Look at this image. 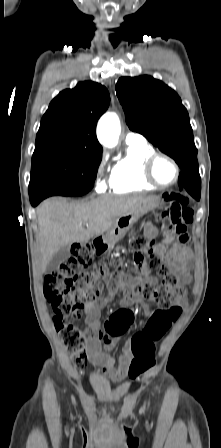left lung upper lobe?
Returning a JSON list of instances; mask_svg holds the SVG:
<instances>
[{
  "label": "left lung upper lobe",
  "instance_id": "left-lung-upper-lobe-1",
  "mask_svg": "<svg viewBox=\"0 0 221 448\" xmlns=\"http://www.w3.org/2000/svg\"><path fill=\"white\" fill-rule=\"evenodd\" d=\"M116 94L132 131L144 135L183 170L198 169L189 115L174 90L150 76L122 77Z\"/></svg>",
  "mask_w": 221,
  "mask_h": 448
}]
</instances>
